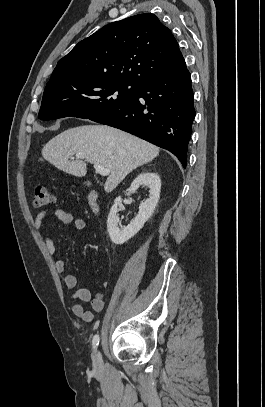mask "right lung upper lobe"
Listing matches in <instances>:
<instances>
[{"label": "right lung upper lobe", "mask_w": 265, "mask_h": 407, "mask_svg": "<svg viewBox=\"0 0 265 407\" xmlns=\"http://www.w3.org/2000/svg\"><path fill=\"white\" fill-rule=\"evenodd\" d=\"M182 56L179 45L151 13L110 23L80 41L60 59L49 82L98 78L141 84Z\"/></svg>", "instance_id": "1"}]
</instances>
